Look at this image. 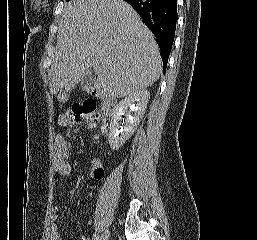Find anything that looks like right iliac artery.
I'll return each mask as SVG.
<instances>
[{
	"instance_id": "82829eb1",
	"label": "right iliac artery",
	"mask_w": 257,
	"mask_h": 240,
	"mask_svg": "<svg viewBox=\"0 0 257 240\" xmlns=\"http://www.w3.org/2000/svg\"><path fill=\"white\" fill-rule=\"evenodd\" d=\"M92 240H99V232L93 234Z\"/></svg>"
}]
</instances>
